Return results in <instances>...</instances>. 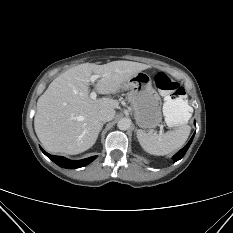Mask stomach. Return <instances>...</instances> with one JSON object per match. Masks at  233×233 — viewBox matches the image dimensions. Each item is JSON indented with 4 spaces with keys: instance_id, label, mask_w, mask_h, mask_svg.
<instances>
[{
    "instance_id": "0dacf381",
    "label": "stomach",
    "mask_w": 233,
    "mask_h": 233,
    "mask_svg": "<svg viewBox=\"0 0 233 233\" xmlns=\"http://www.w3.org/2000/svg\"><path fill=\"white\" fill-rule=\"evenodd\" d=\"M122 89L128 90V100L140 128H155L162 122L161 98L153 88L149 74L136 73L122 85Z\"/></svg>"
}]
</instances>
